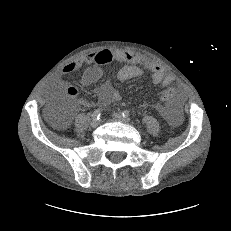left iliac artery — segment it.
Wrapping results in <instances>:
<instances>
[{
  "label": "left iliac artery",
  "instance_id": "obj_1",
  "mask_svg": "<svg viewBox=\"0 0 231 231\" xmlns=\"http://www.w3.org/2000/svg\"><path fill=\"white\" fill-rule=\"evenodd\" d=\"M122 116H123L124 118H128V117L130 116V112H129L128 110H124V111L122 112Z\"/></svg>",
  "mask_w": 231,
  "mask_h": 231
}]
</instances>
